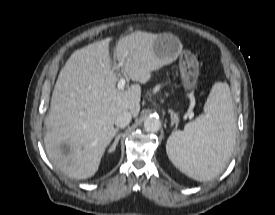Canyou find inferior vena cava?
I'll list each match as a JSON object with an SVG mask.
<instances>
[{
  "mask_svg": "<svg viewBox=\"0 0 275 215\" xmlns=\"http://www.w3.org/2000/svg\"><path fill=\"white\" fill-rule=\"evenodd\" d=\"M132 116L129 111H123L115 118V125L123 128L131 122Z\"/></svg>",
  "mask_w": 275,
  "mask_h": 215,
  "instance_id": "inferior-vena-cava-1",
  "label": "inferior vena cava"
}]
</instances>
